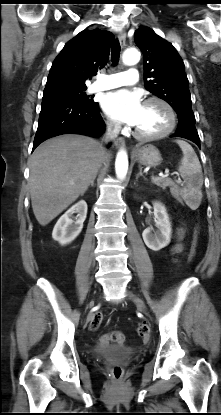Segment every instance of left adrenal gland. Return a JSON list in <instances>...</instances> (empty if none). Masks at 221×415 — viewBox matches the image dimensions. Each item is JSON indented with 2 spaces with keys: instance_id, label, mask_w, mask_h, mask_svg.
<instances>
[{
  "instance_id": "1",
  "label": "left adrenal gland",
  "mask_w": 221,
  "mask_h": 415,
  "mask_svg": "<svg viewBox=\"0 0 221 415\" xmlns=\"http://www.w3.org/2000/svg\"><path fill=\"white\" fill-rule=\"evenodd\" d=\"M140 176H143V174H142V168L141 167L139 168V173L136 175V181L138 180V178Z\"/></svg>"
}]
</instances>
